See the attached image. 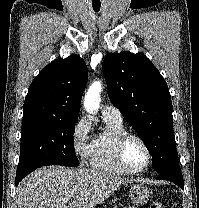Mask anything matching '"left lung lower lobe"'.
I'll return each instance as SVG.
<instances>
[{
	"mask_svg": "<svg viewBox=\"0 0 199 208\" xmlns=\"http://www.w3.org/2000/svg\"><path fill=\"white\" fill-rule=\"evenodd\" d=\"M157 172L159 173V175L157 176V179L168 180L177 184L182 189L184 188L183 177H182V173L180 170V165H179L178 160H176L168 168L157 171Z\"/></svg>",
	"mask_w": 199,
	"mask_h": 208,
	"instance_id": "left-lung-lower-lobe-1",
	"label": "left lung lower lobe"
}]
</instances>
